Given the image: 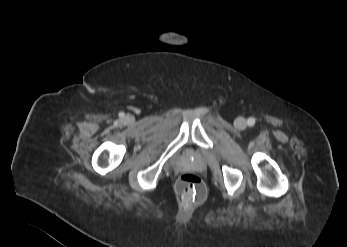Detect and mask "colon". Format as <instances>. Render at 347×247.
Instances as JSON below:
<instances>
[{
	"instance_id": "1",
	"label": "colon",
	"mask_w": 347,
	"mask_h": 247,
	"mask_svg": "<svg viewBox=\"0 0 347 247\" xmlns=\"http://www.w3.org/2000/svg\"><path fill=\"white\" fill-rule=\"evenodd\" d=\"M176 192L183 202H202L206 196L201 179L192 173L180 177L176 184Z\"/></svg>"
}]
</instances>
